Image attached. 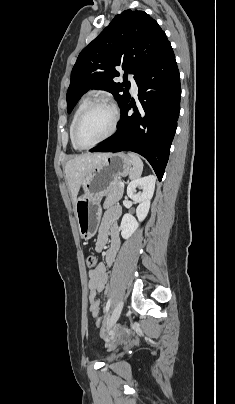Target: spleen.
Segmentation results:
<instances>
[{
	"label": "spleen",
	"instance_id": "spleen-1",
	"mask_svg": "<svg viewBox=\"0 0 235 404\" xmlns=\"http://www.w3.org/2000/svg\"><path fill=\"white\" fill-rule=\"evenodd\" d=\"M128 155L131 157V159L133 161V168L130 171L129 177L131 180H135V179L139 178L142 174L143 162L140 159V157L133 152L129 153Z\"/></svg>",
	"mask_w": 235,
	"mask_h": 404
}]
</instances>
